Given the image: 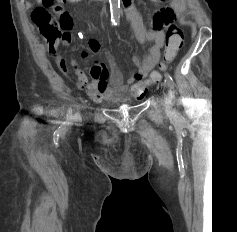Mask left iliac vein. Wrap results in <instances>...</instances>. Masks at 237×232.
Wrapping results in <instances>:
<instances>
[{
	"label": "left iliac vein",
	"mask_w": 237,
	"mask_h": 232,
	"mask_svg": "<svg viewBox=\"0 0 237 232\" xmlns=\"http://www.w3.org/2000/svg\"><path fill=\"white\" fill-rule=\"evenodd\" d=\"M164 88L166 89V93L164 97L165 107H166V110L169 111L171 109L173 95H172L171 90L169 89V84L167 81L164 82Z\"/></svg>",
	"instance_id": "4c4485c4"
}]
</instances>
